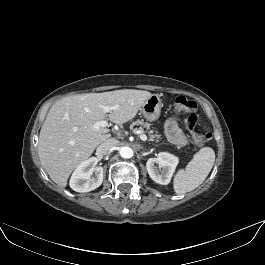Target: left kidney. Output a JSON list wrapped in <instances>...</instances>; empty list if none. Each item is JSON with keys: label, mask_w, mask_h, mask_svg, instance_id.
<instances>
[{"label": "left kidney", "mask_w": 265, "mask_h": 265, "mask_svg": "<svg viewBox=\"0 0 265 265\" xmlns=\"http://www.w3.org/2000/svg\"><path fill=\"white\" fill-rule=\"evenodd\" d=\"M178 162V158L173 154L160 152L156 158H150L146 162L147 172L154 182L167 185L171 181Z\"/></svg>", "instance_id": "obj_1"}]
</instances>
